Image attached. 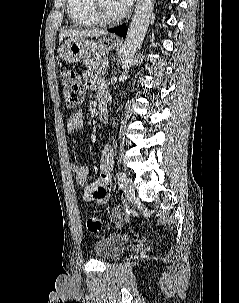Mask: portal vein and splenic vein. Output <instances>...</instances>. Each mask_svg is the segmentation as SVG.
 <instances>
[{"instance_id":"18ae733b","label":"portal vein and splenic vein","mask_w":239,"mask_h":303,"mask_svg":"<svg viewBox=\"0 0 239 303\" xmlns=\"http://www.w3.org/2000/svg\"><path fill=\"white\" fill-rule=\"evenodd\" d=\"M103 66L107 68L109 66V62L108 61H104L103 62Z\"/></svg>"}]
</instances>
